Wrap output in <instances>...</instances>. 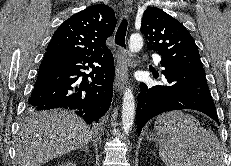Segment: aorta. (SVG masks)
<instances>
[{
    "label": "aorta",
    "mask_w": 231,
    "mask_h": 166,
    "mask_svg": "<svg viewBox=\"0 0 231 166\" xmlns=\"http://www.w3.org/2000/svg\"><path fill=\"white\" fill-rule=\"evenodd\" d=\"M143 47V38L140 34L134 33L130 37L129 51L130 53H137ZM135 118V100L131 88H126L123 95L122 103V129L124 134L128 135L132 129Z\"/></svg>",
    "instance_id": "1"
}]
</instances>
